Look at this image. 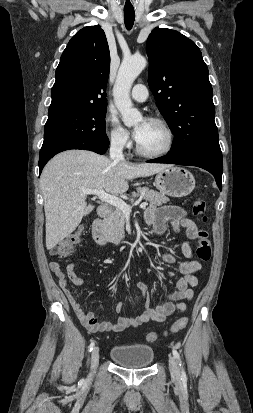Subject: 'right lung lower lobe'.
<instances>
[{
    "instance_id": "obj_1",
    "label": "right lung lower lobe",
    "mask_w": 253,
    "mask_h": 413,
    "mask_svg": "<svg viewBox=\"0 0 253 413\" xmlns=\"http://www.w3.org/2000/svg\"><path fill=\"white\" fill-rule=\"evenodd\" d=\"M109 141L108 139L105 140H97L92 142H83L77 140L71 141H62L55 144H52L47 147H43L40 150L39 156V172L41 173L45 164L57 153L70 150V149H83V150H90L98 154H104L108 149Z\"/></svg>"
}]
</instances>
